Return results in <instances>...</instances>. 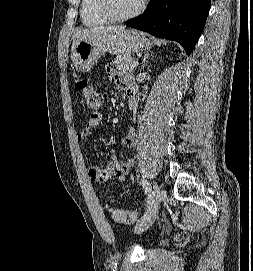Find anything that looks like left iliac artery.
Here are the masks:
<instances>
[{"label":"left iliac artery","instance_id":"left-iliac-artery-1","mask_svg":"<svg viewBox=\"0 0 253 271\" xmlns=\"http://www.w3.org/2000/svg\"><path fill=\"white\" fill-rule=\"evenodd\" d=\"M142 185L145 189V193L147 194V204L149 205L151 202V198H152V189L149 186V183L143 178L142 179ZM145 215V214H144Z\"/></svg>","mask_w":253,"mask_h":271}]
</instances>
